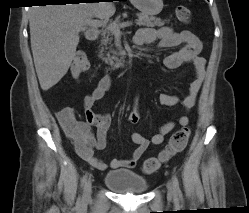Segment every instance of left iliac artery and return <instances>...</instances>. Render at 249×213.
Listing matches in <instances>:
<instances>
[{"label": "left iliac artery", "instance_id": "1", "mask_svg": "<svg viewBox=\"0 0 249 213\" xmlns=\"http://www.w3.org/2000/svg\"><path fill=\"white\" fill-rule=\"evenodd\" d=\"M172 181H173V186H174L175 192L180 194L181 190H180L179 181H178V178L176 177V175L172 176Z\"/></svg>", "mask_w": 249, "mask_h": 213}]
</instances>
